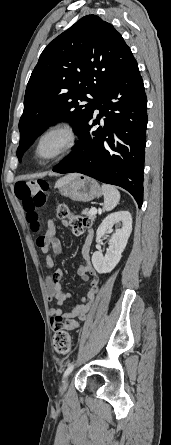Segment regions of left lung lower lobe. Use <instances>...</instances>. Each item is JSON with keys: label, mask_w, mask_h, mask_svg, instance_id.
<instances>
[{"label": "left lung lower lobe", "mask_w": 171, "mask_h": 445, "mask_svg": "<svg viewBox=\"0 0 171 445\" xmlns=\"http://www.w3.org/2000/svg\"><path fill=\"white\" fill-rule=\"evenodd\" d=\"M95 109L100 113L93 120ZM146 128L147 99L136 63L108 81L78 135L79 144L53 171L78 172L120 186L141 207Z\"/></svg>", "instance_id": "0a47b994"}]
</instances>
